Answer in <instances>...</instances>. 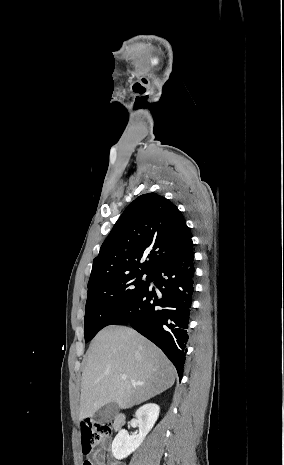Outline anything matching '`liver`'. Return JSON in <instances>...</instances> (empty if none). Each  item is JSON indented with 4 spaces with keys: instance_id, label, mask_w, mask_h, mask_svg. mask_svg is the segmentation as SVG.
<instances>
[{
    "instance_id": "liver-1",
    "label": "liver",
    "mask_w": 284,
    "mask_h": 465,
    "mask_svg": "<svg viewBox=\"0 0 284 465\" xmlns=\"http://www.w3.org/2000/svg\"><path fill=\"white\" fill-rule=\"evenodd\" d=\"M86 361L78 421L92 417L108 403H117L120 409L140 405L175 381V367L164 353L129 327L110 325L100 331ZM121 375H127L126 381Z\"/></svg>"
}]
</instances>
